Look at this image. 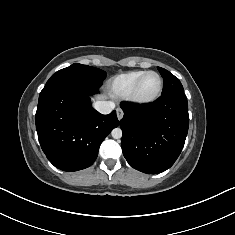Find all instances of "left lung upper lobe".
<instances>
[{
	"label": "left lung upper lobe",
	"mask_w": 235,
	"mask_h": 235,
	"mask_svg": "<svg viewBox=\"0 0 235 235\" xmlns=\"http://www.w3.org/2000/svg\"><path fill=\"white\" fill-rule=\"evenodd\" d=\"M161 76L164 79V87L162 95L173 93V92H184L183 86L173 74L164 68L158 67Z\"/></svg>",
	"instance_id": "5c2ea615"
}]
</instances>
